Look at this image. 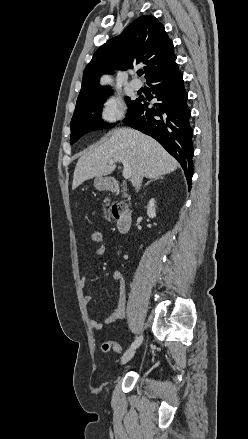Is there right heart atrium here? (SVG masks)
Returning a JSON list of instances; mask_svg holds the SVG:
<instances>
[{"label": "right heart atrium", "instance_id": "right-heart-atrium-1", "mask_svg": "<svg viewBox=\"0 0 248 439\" xmlns=\"http://www.w3.org/2000/svg\"><path fill=\"white\" fill-rule=\"evenodd\" d=\"M124 114L125 108L122 101L117 97H110L100 105L97 117L101 123L113 126L123 119Z\"/></svg>", "mask_w": 248, "mask_h": 439}]
</instances>
